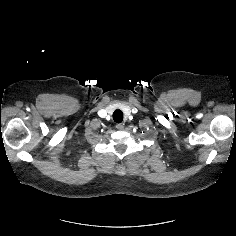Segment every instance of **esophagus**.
Listing matches in <instances>:
<instances>
[{"instance_id":"obj_1","label":"esophagus","mask_w":236,"mask_h":236,"mask_svg":"<svg viewBox=\"0 0 236 236\" xmlns=\"http://www.w3.org/2000/svg\"><path fill=\"white\" fill-rule=\"evenodd\" d=\"M116 129L117 130H123L124 129V124H122V123L116 124Z\"/></svg>"}]
</instances>
